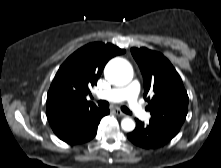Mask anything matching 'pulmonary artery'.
<instances>
[{
    "label": "pulmonary artery",
    "instance_id": "1",
    "mask_svg": "<svg viewBox=\"0 0 221 168\" xmlns=\"http://www.w3.org/2000/svg\"><path fill=\"white\" fill-rule=\"evenodd\" d=\"M140 84L134 80L129 85L100 92L98 97L110 102L127 101L130 111L139 119L148 120L150 115L138 102Z\"/></svg>",
    "mask_w": 221,
    "mask_h": 168
}]
</instances>
